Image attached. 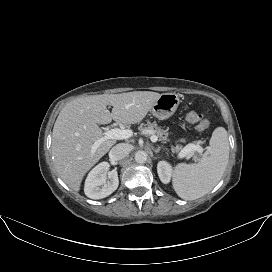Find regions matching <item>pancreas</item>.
<instances>
[{"label": "pancreas", "instance_id": "obj_1", "mask_svg": "<svg viewBox=\"0 0 272 272\" xmlns=\"http://www.w3.org/2000/svg\"><path fill=\"white\" fill-rule=\"evenodd\" d=\"M140 130L143 131L146 135L150 136V135H153V134H156L161 141L163 142H167V138H168V133L161 129L160 127L157 126V124L154 122V123H150V122H147L146 125H144L143 127V124H141L140 126ZM192 144V143H191ZM190 144L186 145L185 147H182L180 145H177L176 147H174L172 149V152H176V153H180L184 148L188 147ZM195 145V144H193ZM196 146H199L198 143H196ZM195 151H191L190 154H194Z\"/></svg>", "mask_w": 272, "mask_h": 272}]
</instances>
